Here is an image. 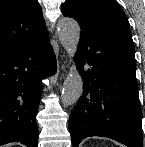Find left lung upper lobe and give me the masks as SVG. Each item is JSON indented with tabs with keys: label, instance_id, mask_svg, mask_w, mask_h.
Masks as SVG:
<instances>
[{
	"label": "left lung upper lobe",
	"instance_id": "left-lung-upper-lobe-1",
	"mask_svg": "<svg viewBox=\"0 0 145 147\" xmlns=\"http://www.w3.org/2000/svg\"><path fill=\"white\" fill-rule=\"evenodd\" d=\"M62 13L80 26L124 28L130 32L127 16L116 0H66Z\"/></svg>",
	"mask_w": 145,
	"mask_h": 147
}]
</instances>
